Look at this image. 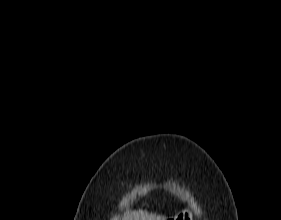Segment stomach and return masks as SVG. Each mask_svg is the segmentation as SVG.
Instances as JSON below:
<instances>
[{"label": "stomach", "instance_id": "1", "mask_svg": "<svg viewBox=\"0 0 281 220\" xmlns=\"http://www.w3.org/2000/svg\"><path fill=\"white\" fill-rule=\"evenodd\" d=\"M174 220H192V214L188 210H183L174 217Z\"/></svg>", "mask_w": 281, "mask_h": 220}]
</instances>
